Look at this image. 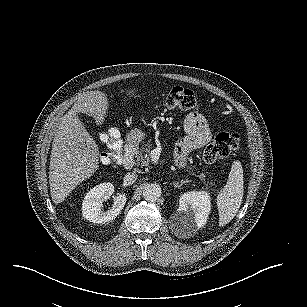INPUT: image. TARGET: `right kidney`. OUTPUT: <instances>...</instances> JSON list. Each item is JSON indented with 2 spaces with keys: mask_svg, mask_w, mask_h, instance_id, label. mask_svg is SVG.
<instances>
[{
  "mask_svg": "<svg viewBox=\"0 0 307 307\" xmlns=\"http://www.w3.org/2000/svg\"><path fill=\"white\" fill-rule=\"evenodd\" d=\"M114 193V186L110 182L101 183L86 194L82 202V216L93 223H107L115 219L124 208L127 198L125 194L117 193L114 203L107 211L103 210V202Z\"/></svg>",
  "mask_w": 307,
  "mask_h": 307,
  "instance_id": "1",
  "label": "right kidney"
}]
</instances>
